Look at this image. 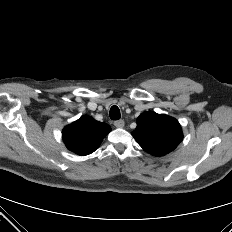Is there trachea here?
<instances>
[{"instance_id":"1","label":"trachea","mask_w":232,"mask_h":232,"mask_svg":"<svg viewBox=\"0 0 232 232\" xmlns=\"http://www.w3.org/2000/svg\"><path fill=\"white\" fill-rule=\"evenodd\" d=\"M120 117H121V115H120L119 108L116 105L112 106L110 109V118L112 120H118V119H120Z\"/></svg>"}]
</instances>
